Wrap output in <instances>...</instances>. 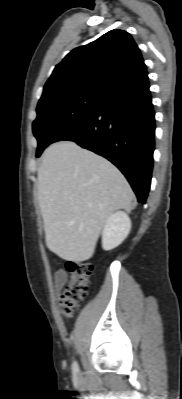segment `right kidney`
I'll return each mask as SVG.
<instances>
[{"mask_svg": "<svg viewBox=\"0 0 182 399\" xmlns=\"http://www.w3.org/2000/svg\"><path fill=\"white\" fill-rule=\"evenodd\" d=\"M131 220L125 212L118 211L109 216L102 231V247L112 250L119 246L128 236Z\"/></svg>", "mask_w": 182, "mask_h": 399, "instance_id": "obj_1", "label": "right kidney"}]
</instances>
